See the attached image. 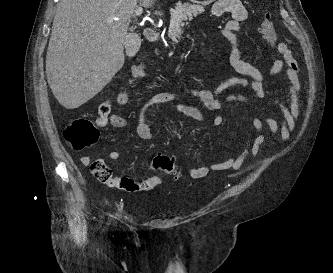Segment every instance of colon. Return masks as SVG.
Masks as SVG:
<instances>
[{
  "mask_svg": "<svg viewBox=\"0 0 333 273\" xmlns=\"http://www.w3.org/2000/svg\"><path fill=\"white\" fill-rule=\"evenodd\" d=\"M259 32L264 40L276 47L277 35L272 19L265 15L260 23ZM67 144L74 150H83L95 144L99 137L96 125L88 119L78 118L72 120L63 132ZM149 167L160 173L172 175L175 179L180 177L174 162L165 155H158L150 162ZM92 174L101 182L111 184L114 181L112 169L102 159H97L90 164Z\"/></svg>",
  "mask_w": 333,
  "mask_h": 273,
  "instance_id": "5ec220e1",
  "label": "colon"
}]
</instances>
